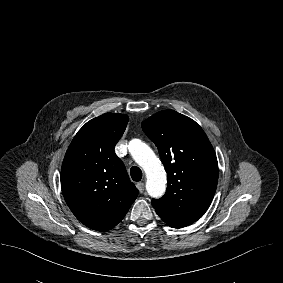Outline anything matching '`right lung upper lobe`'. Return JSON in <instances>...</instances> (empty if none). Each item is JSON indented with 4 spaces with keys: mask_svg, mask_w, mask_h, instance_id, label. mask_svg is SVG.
I'll list each match as a JSON object with an SVG mask.
<instances>
[{
    "mask_svg": "<svg viewBox=\"0 0 283 283\" xmlns=\"http://www.w3.org/2000/svg\"><path fill=\"white\" fill-rule=\"evenodd\" d=\"M127 123V115L116 113L90 120L75 135L63 160L64 199L80 222L97 231L116 226L138 195L114 152Z\"/></svg>",
    "mask_w": 283,
    "mask_h": 283,
    "instance_id": "1",
    "label": "right lung upper lobe"
}]
</instances>
